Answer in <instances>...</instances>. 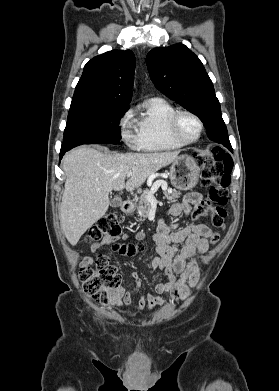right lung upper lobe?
Segmentation results:
<instances>
[{"label": "right lung upper lobe", "mask_w": 279, "mask_h": 391, "mask_svg": "<svg viewBox=\"0 0 279 391\" xmlns=\"http://www.w3.org/2000/svg\"><path fill=\"white\" fill-rule=\"evenodd\" d=\"M135 57L131 50H112L91 59L75 88L70 111L129 107Z\"/></svg>", "instance_id": "1"}]
</instances>
